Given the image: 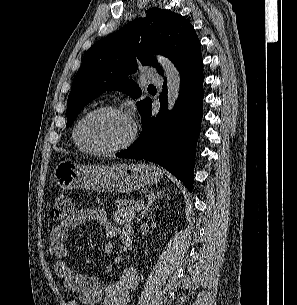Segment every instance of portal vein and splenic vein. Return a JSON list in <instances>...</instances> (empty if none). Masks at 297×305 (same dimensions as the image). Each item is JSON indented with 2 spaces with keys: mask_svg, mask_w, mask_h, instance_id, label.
Returning a JSON list of instances; mask_svg holds the SVG:
<instances>
[{
  "mask_svg": "<svg viewBox=\"0 0 297 305\" xmlns=\"http://www.w3.org/2000/svg\"><path fill=\"white\" fill-rule=\"evenodd\" d=\"M135 205L137 206V209L139 210L142 207V202H136Z\"/></svg>",
  "mask_w": 297,
  "mask_h": 305,
  "instance_id": "1",
  "label": "portal vein and splenic vein"
}]
</instances>
